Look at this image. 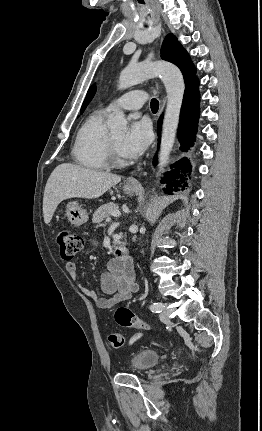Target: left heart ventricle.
<instances>
[{
  "label": "left heart ventricle",
  "instance_id": "b2bd125f",
  "mask_svg": "<svg viewBox=\"0 0 262 431\" xmlns=\"http://www.w3.org/2000/svg\"><path fill=\"white\" fill-rule=\"evenodd\" d=\"M110 137H111L112 141L117 145V147L119 145V142L123 139V135L122 134L111 135Z\"/></svg>",
  "mask_w": 262,
  "mask_h": 431
}]
</instances>
